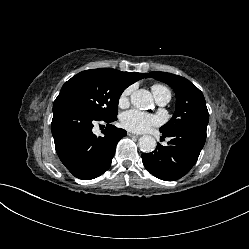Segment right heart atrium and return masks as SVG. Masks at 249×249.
Segmentation results:
<instances>
[{
	"instance_id": "1",
	"label": "right heart atrium",
	"mask_w": 249,
	"mask_h": 249,
	"mask_svg": "<svg viewBox=\"0 0 249 249\" xmlns=\"http://www.w3.org/2000/svg\"><path fill=\"white\" fill-rule=\"evenodd\" d=\"M131 92H132V88L129 87L121 93L118 99L119 106L123 107L128 103Z\"/></svg>"
}]
</instances>
